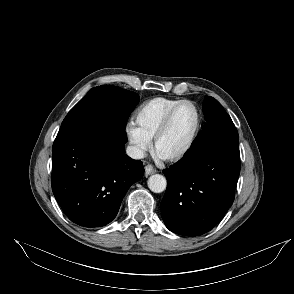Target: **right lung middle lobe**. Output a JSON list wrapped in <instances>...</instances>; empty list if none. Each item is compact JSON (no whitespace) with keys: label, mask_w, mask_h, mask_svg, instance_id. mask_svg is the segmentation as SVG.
Segmentation results:
<instances>
[{"label":"right lung middle lobe","mask_w":294,"mask_h":294,"mask_svg":"<svg viewBox=\"0 0 294 294\" xmlns=\"http://www.w3.org/2000/svg\"><path fill=\"white\" fill-rule=\"evenodd\" d=\"M106 89L113 97L109 104L97 102L91 89L67 114L63 120L58 137L89 129L111 126L125 128L130 112L139 101V96L131 91L108 85L99 86Z\"/></svg>","instance_id":"obj_1"}]
</instances>
